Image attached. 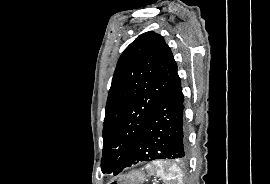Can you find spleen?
<instances>
[{
    "label": "spleen",
    "instance_id": "obj_1",
    "mask_svg": "<svg viewBox=\"0 0 270 184\" xmlns=\"http://www.w3.org/2000/svg\"><path fill=\"white\" fill-rule=\"evenodd\" d=\"M149 174H156L165 184H183L182 172L176 164L164 165L161 161H155L146 166Z\"/></svg>",
    "mask_w": 270,
    "mask_h": 184
}]
</instances>
